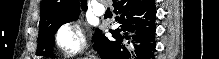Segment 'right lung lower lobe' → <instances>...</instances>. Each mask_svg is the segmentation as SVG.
<instances>
[{
    "instance_id": "right-lung-lower-lobe-1",
    "label": "right lung lower lobe",
    "mask_w": 219,
    "mask_h": 59,
    "mask_svg": "<svg viewBox=\"0 0 219 59\" xmlns=\"http://www.w3.org/2000/svg\"><path fill=\"white\" fill-rule=\"evenodd\" d=\"M120 28L110 30L108 39L97 29L94 50L103 59H153L155 51L154 0H113ZM135 53V55H134Z\"/></svg>"
}]
</instances>
